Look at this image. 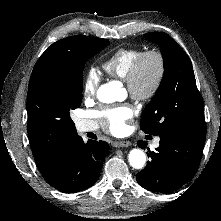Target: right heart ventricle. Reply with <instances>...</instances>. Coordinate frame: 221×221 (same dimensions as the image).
Returning <instances> with one entry per match:
<instances>
[{"label": "right heart ventricle", "instance_id": "1", "mask_svg": "<svg viewBox=\"0 0 221 221\" xmlns=\"http://www.w3.org/2000/svg\"><path fill=\"white\" fill-rule=\"evenodd\" d=\"M142 53L139 48H120L103 62L102 67L108 75L125 81Z\"/></svg>", "mask_w": 221, "mask_h": 221}]
</instances>
